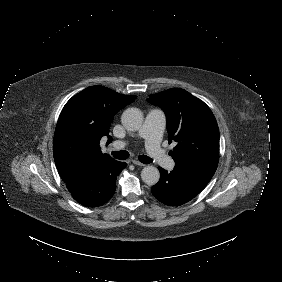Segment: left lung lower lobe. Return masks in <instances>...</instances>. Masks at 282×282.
Masks as SVG:
<instances>
[{
	"label": "left lung lower lobe",
	"mask_w": 282,
	"mask_h": 282,
	"mask_svg": "<svg viewBox=\"0 0 282 282\" xmlns=\"http://www.w3.org/2000/svg\"><path fill=\"white\" fill-rule=\"evenodd\" d=\"M218 163L189 161L176 164L171 172L161 167L160 180L151 189L160 202L168 206H180L198 195L208 184Z\"/></svg>",
	"instance_id": "1"
}]
</instances>
